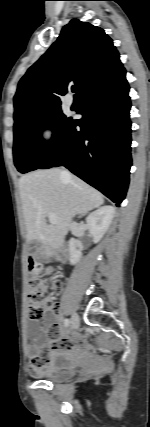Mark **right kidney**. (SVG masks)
<instances>
[{"label": "right kidney", "mask_w": 150, "mask_h": 427, "mask_svg": "<svg viewBox=\"0 0 150 427\" xmlns=\"http://www.w3.org/2000/svg\"><path fill=\"white\" fill-rule=\"evenodd\" d=\"M114 214L115 209L112 206H103L87 216V228L94 243H98L107 232L114 218ZM69 250L70 264L75 265L80 261L82 253L81 250L77 249L76 241L73 238L69 242Z\"/></svg>", "instance_id": "1"}]
</instances>
